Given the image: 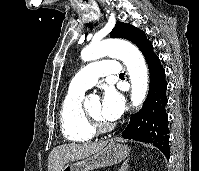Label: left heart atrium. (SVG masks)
Wrapping results in <instances>:
<instances>
[{
    "mask_svg": "<svg viewBox=\"0 0 199 171\" xmlns=\"http://www.w3.org/2000/svg\"><path fill=\"white\" fill-rule=\"evenodd\" d=\"M100 107V115L104 121L115 122L123 113L124 98L114 88L105 90Z\"/></svg>",
    "mask_w": 199,
    "mask_h": 171,
    "instance_id": "39dd6f15",
    "label": "left heart atrium"
}]
</instances>
